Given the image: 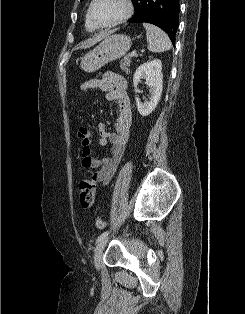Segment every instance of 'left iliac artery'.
Segmentation results:
<instances>
[{
  "label": "left iliac artery",
  "instance_id": "left-iliac-artery-1",
  "mask_svg": "<svg viewBox=\"0 0 245 314\" xmlns=\"http://www.w3.org/2000/svg\"><path fill=\"white\" fill-rule=\"evenodd\" d=\"M109 234V231H105L103 232L97 239V241H100L101 239H103L104 237H106Z\"/></svg>",
  "mask_w": 245,
  "mask_h": 314
}]
</instances>
